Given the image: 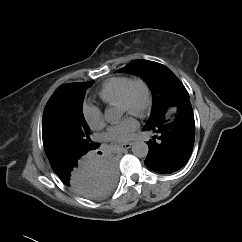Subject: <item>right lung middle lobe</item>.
Segmentation results:
<instances>
[{"label":"right lung middle lobe","mask_w":242,"mask_h":242,"mask_svg":"<svg viewBox=\"0 0 242 242\" xmlns=\"http://www.w3.org/2000/svg\"><path fill=\"white\" fill-rule=\"evenodd\" d=\"M93 82L81 83L74 93L47 103L42 119V137L51 166L82 157L87 149L99 146L90 139V129L82 112L85 90Z\"/></svg>","instance_id":"right-lung-middle-lobe-1"}]
</instances>
